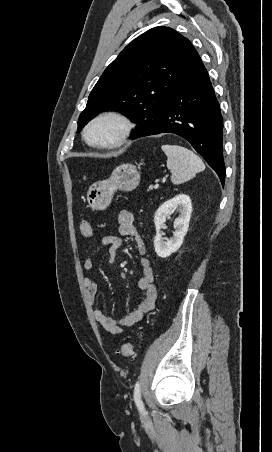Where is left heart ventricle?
Instances as JSON below:
<instances>
[{"label":"left heart ventricle","instance_id":"obj_1","mask_svg":"<svg viewBox=\"0 0 272 452\" xmlns=\"http://www.w3.org/2000/svg\"><path fill=\"white\" fill-rule=\"evenodd\" d=\"M117 126L112 122H102L95 125L89 132V139L94 142H105L114 137Z\"/></svg>","mask_w":272,"mask_h":452}]
</instances>
